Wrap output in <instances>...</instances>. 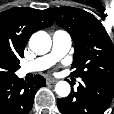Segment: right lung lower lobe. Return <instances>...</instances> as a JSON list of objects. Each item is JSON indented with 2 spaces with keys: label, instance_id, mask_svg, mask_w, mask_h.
Instances as JSON below:
<instances>
[{
  "label": "right lung lower lobe",
  "instance_id": "98d812e1",
  "mask_svg": "<svg viewBox=\"0 0 114 114\" xmlns=\"http://www.w3.org/2000/svg\"><path fill=\"white\" fill-rule=\"evenodd\" d=\"M42 86H45V79L40 75H35L27 82L16 75L0 82V114H28L34 96Z\"/></svg>",
  "mask_w": 114,
  "mask_h": 114
}]
</instances>
